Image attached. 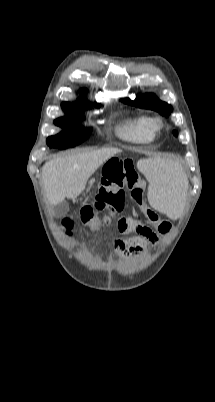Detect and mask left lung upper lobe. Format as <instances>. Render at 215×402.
<instances>
[{"label":"left lung upper lobe","mask_w":215,"mask_h":402,"mask_svg":"<svg viewBox=\"0 0 215 402\" xmlns=\"http://www.w3.org/2000/svg\"><path fill=\"white\" fill-rule=\"evenodd\" d=\"M127 104L134 105L139 108H147L151 110H155L160 114L167 116L169 112L172 110L171 106L154 96V94H145L137 97L134 101L129 98L122 99ZM173 134L177 135V132H173Z\"/></svg>","instance_id":"1"}]
</instances>
